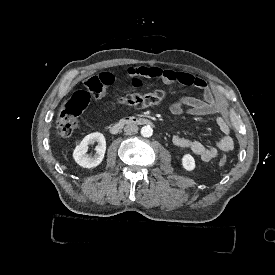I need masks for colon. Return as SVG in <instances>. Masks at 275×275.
<instances>
[{
    "instance_id": "colon-1",
    "label": "colon",
    "mask_w": 275,
    "mask_h": 275,
    "mask_svg": "<svg viewBox=\"0 0 275 275\" xmlns=\"http://www.w3.org/2000/svg\"><path fill=\"white\" fill-rule=\"evenodd\" d=\"M101 75V74H100ZM92 76L87 81L88 90L96 97L104 96L103 93L109 91L110 87L106 86L101 76ZM164 98V91L158 89L146 94H135L121 99L122 103L134 107H148L155 105ZM90 101V93L84 89L76 90L66 100L62 108L59 110L56 118L57 132L62 136H71L78 124V121L86 110ZM217 162L221 166L228 164L225 155H219Z\"/></svg>"
}]
</instances>
